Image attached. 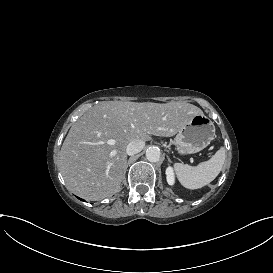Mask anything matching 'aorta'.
Masks as SVG:
<instances>
[{
	"label": "aorta",
	"mask_w": 273,
	"mask_h": 273,
	"mask_svg": "<svg viewBox=\"0 0 273 273\" xmlns=\"http://www.w3.org/2000/svg\"><path fill=\"white\" fill-rule=\"evenodd\" d=\"M160 150L159 148L152 146L146 150V158L150 162H158L160 160Z\"/></svg>",
	"instance_id": "1"
}]
</instances>
